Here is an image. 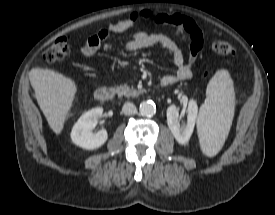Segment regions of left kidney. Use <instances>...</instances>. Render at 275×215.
Wrapping results in <instances>:
<instances>
[{"mask_svg":"<svg viewBox=\"0 0 275 215\" xmlns=\"http://www.w3.org/2000/svg\"><path fill=\"white\" fill-rule=\"evenodd\" d=\"M187 112L188 116L186 124L180 125L177 107L171 105L167 109V124L179 144L187 143L193 133L198 113V106L194 100L189 101Z\"/></svg>","mask_w":275,"mask_h":215,"instance_id":"1","label":"left kidney"}]
</instances>
